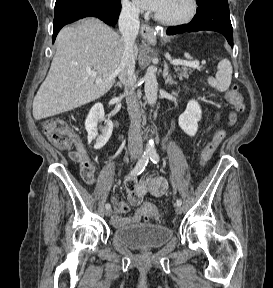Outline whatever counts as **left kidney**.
<instances>
[{
  "instance_id": "1",
  "label": "left kidney",
  "mask_w": 273,
  "mask_h": 288,
  "mask_svg": "<svg viewBox=\"0 0 273 288\" xmlns=\"http://www.w3.org/2000/svg\"><path fill=\"white\" fill-rule=\"evenodd\" d=\"M202 111L195 100H190L186 110L179 116L180 128L189 136H194L198 130V122L201 120Z\"/></svg>"
}]
</instances>
